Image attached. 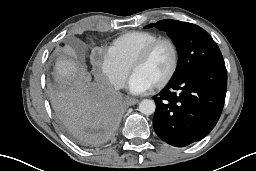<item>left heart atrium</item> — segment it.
<instances>
[{
  "instance_id": "obj_1",
  "label": "left heart atrium",
  "mask_w": 256,
  "mask_h": 171,
  "mask_svg": "<svg viewBox=\"0 0 256 171\" xmlns=\"http://www.w3.org/2000/svg\"><path fill=\"white\" fill-rule=\"evenodd\" d=\"M152 88V85L140 75L133 73L128 81V89L133 94H141Z\"/></svg>"
}]
</instances>
